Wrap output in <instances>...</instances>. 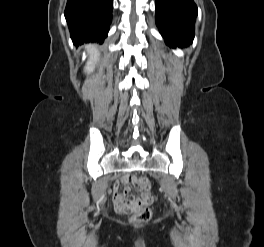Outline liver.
Returning <instances> with one entry per match:
<instances>
[{"instance_id":"6515ba94","label":"liver","mask_w":264,"mask_h":247,"mask_svg":"<svg viewBox=\"0 0 264 247\" xmlns=\"http://www.w3.org/2000/svg\"><path fill=\"white\" fill-rule=\"evenodd\" d=\"M86 48L90 50V59L87 62L85 71L92 72L94 69V63L98 60L99 53L96 47L93 45H87Z\"/></svg>"}]
</instances>
